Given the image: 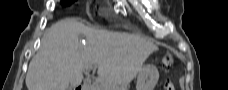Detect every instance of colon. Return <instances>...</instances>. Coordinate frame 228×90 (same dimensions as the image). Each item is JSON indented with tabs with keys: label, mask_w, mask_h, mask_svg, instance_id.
Masks as SVG:
<instances>
[{
	"label": "colon",
	"mask_w": 228,
	"mask_h": 90,
	"mask_svg": "<svg viewBox=\"0 0 228 90\" xmlns=\"http://www.w3.org/2000/svg\"><path fill=\"white\" fill-rule=\"evenodd\" d=\"M173 62V57L171 54H167L162 58V65L164 67H170ZM164 90H175L173 83L170 80L165 81Z\"/></svg>",
	"instance_id": "colon-1"
}]
</instances>
